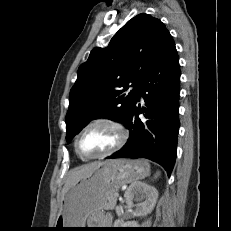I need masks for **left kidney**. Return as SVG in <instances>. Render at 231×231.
<instances>
[{"label":"left kidney","mask_w":231,"mask_h":231,"mask_svg":"<svg viewBox=\"0 0 231 231\" xmlns=\"http://www.w3.org/2000/svg\"><path fill=\"white\" fill-rule=\"evenodd\" d=\"M124 197L128 207L134 208L132 210L134 215L146 216L151 213L157 202L158 191L145 183H135L129 186Z\"/></svg>","instance_id":"obj_1"}]
</instances>
